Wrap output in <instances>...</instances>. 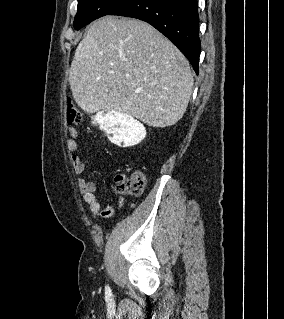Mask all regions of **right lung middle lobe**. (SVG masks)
Here are the masks:
<instances>
[{"instance_id": "dd1d6c3e", "label": "right lung middle lobe", "mask_w": 284, "mask_h": 319, "mask_svg": "<svg viewBox=\"0 0 284 319\" xmlns=\"http://www.w3.org/2000/svg\"><path fill=\"white\" fill-rule=\"evenodd\" d=\"M130 0H78L74 28L79 30L93 20L108 15Z\"/></svg>"}]
</instances>
